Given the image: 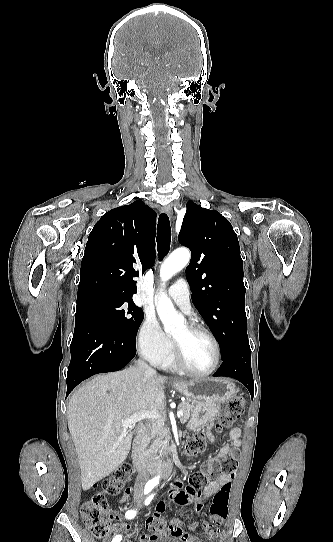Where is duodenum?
I'll list each match as a JSON object with an SVG mask.
<instances>
[{"label": "duodenum", "instance_id": "duodenum-1", "mask_svg": "<svg viewBox=\"0 0 333 542\" xmlns=\"http://www.w3.org/2000/svg\"><path fill=\"white\" fill-rule=\"evenodd\" d=\"M142 448L143 435L139 433L133 442L131 454L134 469L142 474H153L169 477L173 470L171 463L167 461H154L148 459L143 455Z\"/></svg>", "mask_w": 333, "mask_h": 542}]
</instances>
